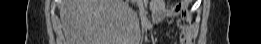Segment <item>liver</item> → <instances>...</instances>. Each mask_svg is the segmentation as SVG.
I'll return each instance as SVG.
<instances>
[{"mask_svg": "<svg viewBox=\"0 0 261 44\" xmlns=\"http://www.w3.org/2000/svg\"><path fill=\"white\" fill-rule=\"evenodd\" d=\"M122 0H62L60 18L71 44H136L140 25Z\"/></svg>", "mask_w": 261, "mask_h": 44, "instance_id": "1", "label": "liver"}]
</instances>
